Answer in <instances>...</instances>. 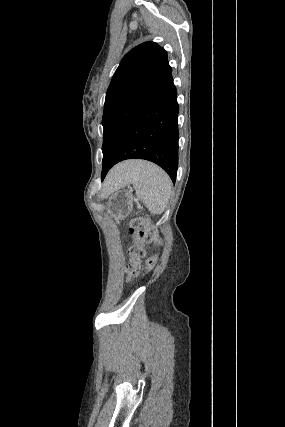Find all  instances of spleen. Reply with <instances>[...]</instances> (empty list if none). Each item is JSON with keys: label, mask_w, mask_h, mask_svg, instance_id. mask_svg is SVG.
I'll use <instances>...</instances> for the list:
<instances>
[{"label": "spleen", "mask_w": 285, "mask_h": 427, "mask_svg": "<svg viewBox=\"0 0 285 427\" xmlns=\"http://www.w3.org/2000/svg\"><path fill=\"white\" fill-rule=\"evenodd\" d=\"M127 172V180L121 187L133 184L137 198L151 213L164 212L172 192V182L167 173L157 165L146 161H138Z\"/></svg>", "instance_id": "obj_1"}]
</instances>
